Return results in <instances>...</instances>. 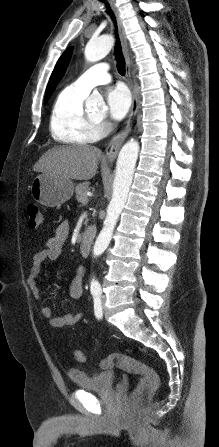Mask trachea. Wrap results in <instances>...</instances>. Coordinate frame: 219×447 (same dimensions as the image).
<instances>
[{
	"mask_svg": "<svg viewBox=\"0 0 219 447\" xmlns=\"http://www.w3.org/2000/svg\"><path fill=\"white\" fill-rule=\"evenodd\" d=\"M107 13L110 15V17L112 18V20L115 24L116 34H117V22H116L115 15L109 7L107 8ZM114 54L117 59V69H118L119 74L125 75V59L122 54V48H121L120 40L118 39V35H117V42H116L115 49H114Z\"/></svg>",
	"mask_w": 219,
	"mask_h": 447,
	"instance_id": "obj_1",
	"label": "trachea"
}]
</instances>
